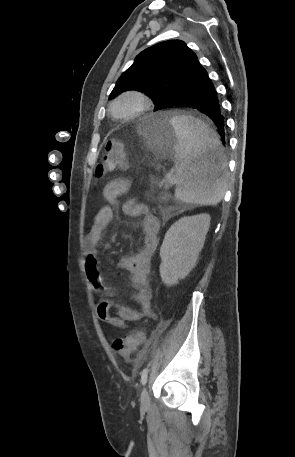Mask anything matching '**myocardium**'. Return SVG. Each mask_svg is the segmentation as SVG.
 Masks as SVG:
<instances>
[{
  "instance_id": "f54148a6",
  "label": "myocardium",
  "mask_w": 295,
  "mask_h": 457,
  "mask_svg": "<svg viewBox=\"0 0 295 457\" xmlns=\"http://www.w3.org/2000/svg\"><path fill=\"white\" fill-rule=\"evenodd\" d=\"M130 100L134 103V107L126 113H120L117 111V107L123 101ZM152 106V100L149 95L140 90H128L119 94L111 103L110 110L112 115L121 120L134 119L145 112H147Z\"/></svg>"
}]
</instances>
